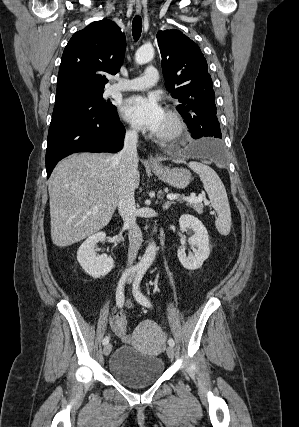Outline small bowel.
Here are the masks:
<instances>
[{
  "instance_id": "obj_1",
  "label": "small bowel",
  "mask_w": 299,
  "mask_h": 427,
  "mask_svg": "<svg viewBox=\"0 0 299 427\" xmlns=\"http://www.w3.org/2000/svg\"><path fill=\"white\" fill-rule=\"evenodd\" d=\"M126 305L128 306V307H130L132 304H131V302L130 301H126ZM120 317H122V315H120V314H118L117 316H116V319L115 320H113L112 322H111V327H112V329H113V331H114V333L121 339V340H128L129 338H130V334L129 333H127L126 335L125 334H120V333H118V331H117V327H116V323H117V320L120 318Z\"/></svg>"
}]
</instances>
